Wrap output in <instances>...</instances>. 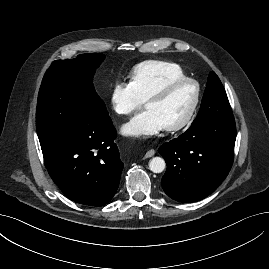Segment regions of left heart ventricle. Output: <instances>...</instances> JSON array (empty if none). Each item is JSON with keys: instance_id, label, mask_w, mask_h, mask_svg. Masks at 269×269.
<instances>
[{"instance_id": "1", "label": "left heart ventricle", "mask_w": 269, "mask_h": 269, "mask_svg": "<svg viewBox=\"0 0 269 269\" xmlns=\"http://www.w3.org/2000/svg\"><path fill=\"white\" fill-rule=\"evenodd\" d=\"M195 96L193 84H183L174 88L165 98L149 102L146 110L153 111L165 127L179 123L188 113Z\"/></svg>"}]
</instances>
